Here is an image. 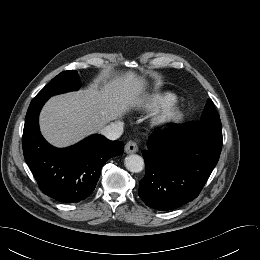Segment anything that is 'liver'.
<instances>
[{"instance_id": "liver-1", "label": "liver", "mask_w": 260, "mask_h": 260, "mask_svg": "<svg viewBox=\"0 0 260 260\" xmlns=\"http://www.w3.org/2000/svg\"><path fill=\"white\" fill-rule=\"evenodd\" d=\"M147 81L132 71L115 72L88 88L51 97L40 113V130L56 147L73 145L120 120L145 101Z\"/></svg>"}]
</instances>
